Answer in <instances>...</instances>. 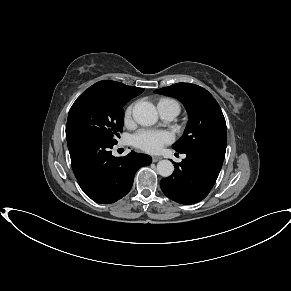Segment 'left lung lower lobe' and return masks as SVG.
<instances>
[{
	"label": "left lung lower lobe",
	"instance_id": "obj_1",
	"mask_svg": "<svg viewBox=\"0 0 291 291\" xmlns=\"http://www.w3.org/2000/svg\"><path fill=\"white\" fill-rule=\"evenodd\" d=\"M185 154L181 163H174L173 174L160 181V187L171 200L194 204L203 200L214 186L225 154L198 150Z\"/></svg>",
	"mask_w": 291,
	"mask_h": 291
}]
</instances>
